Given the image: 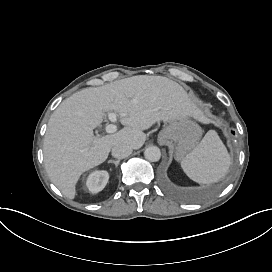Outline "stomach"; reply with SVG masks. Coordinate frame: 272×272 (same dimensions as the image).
<instances>
[{
	"label": "stomach",
	"instance_id": "stomach-1",
	"mask_svg": "<svg viewBox=\"0 0 272 272\" xmlns=\"http://www.w3.org/2000/svg\"><path fill=\"white\" fill-rule=\"evenodd\" d=\"M158 135L159 141L171 140L175 143V159L181 160L196 148L202 136L201 127L188 117L170 118Z\"/></svg>",
	"mask_w": 272,
	"mask_h": 272
}]
</instances>
